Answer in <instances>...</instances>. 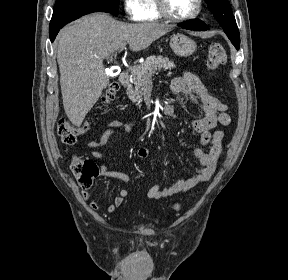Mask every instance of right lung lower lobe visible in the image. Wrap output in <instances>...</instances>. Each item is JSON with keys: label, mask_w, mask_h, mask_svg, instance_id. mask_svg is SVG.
Wrapping results in <instances>:
<instances>
[{"label": "right lung lower lobe", "mask_w": 288, "mask_h": 280, "mask_svg": "<svg viewBox=\"0 0 288 280\" xmlns=\"http://www.w3.org/2000/svg\"><path fill=\"white\" fill-rule=\"evenodd\" d=\"M92 12H109V11L103 8L102 6L93 4H82L66 8L58 13L53 14L49 27V35L51 42L54 41L57 33L64 25L83 15Z\"/></svg>", "instance_id": "98d812e1"}]
</instances>
